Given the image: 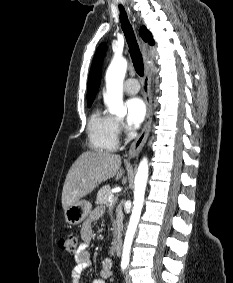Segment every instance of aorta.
<instances>
[{
  "instance_id": "obj_1",
  "label": "aorta",
  "mask_w": 233,
  "mask_h": 283,
  "mask_svg": "<svg viewBox=\"0 0 233 283\" xmlns=\"http://www.w3.org/2000/svg\"><path fill=\"white\" fill-rule=\"evenodd\" d=\"M127 71V61L123 57H115L106 72V93L104 102L111 114L118 116L126 115V107L123 104V81ZM149 174L148 160L144 157L138 166L134 182V202L132 214L127 227L125 240L123 244L122 261L127 265L130 259V250L134 234L140 220L141 211L144 204L145 190Z\"/></svg>"
}]
</instances>
